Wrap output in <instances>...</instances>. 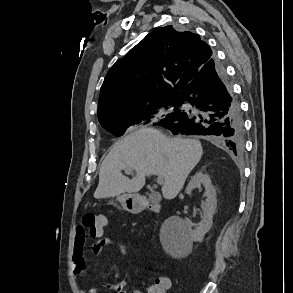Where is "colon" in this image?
<instances>
[{
    "label": "colon",
    "mask_w": 293,
    "mask_h": 293,
    "mask_svg": "<svg viewBox=\"0 0 293 293\" xmlns=\"http://www.w3.org/2000/svg\"><path fill=\"white\" fill-rule=\"evenodd\" d=\"M107 217L103 214L87 213L82 219V229L92 239L98 238L104 232ZM166 281L157 279L148 288V293H165Z\"/></svg>",
    "instance_id": "5ec220e1"
}]
</instances>
